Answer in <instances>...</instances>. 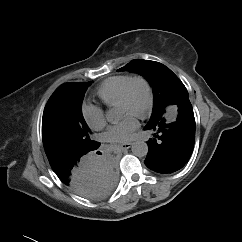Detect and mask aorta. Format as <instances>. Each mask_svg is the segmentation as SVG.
<instances>
[{
  "label": "aorta",
  "instance_id": "1",
  "mask_svg": "<svg viewBox=\"0 0 242 242\" xmlns=\"http://www.w3.org/2000/svg\"><path fill=\"white\" fill-rule=\"evenodd\" d=\"M105 117L108 122L113 123L118 120L119 115L115 110L109 109L106 111ZM131 150L133 155L137 157H144L148 154V145L144 141H136L132 144Z\"/></svg>",
  "mask_w": 242,
  "mask_h": 242
}]
</instances>
